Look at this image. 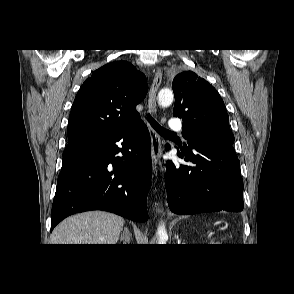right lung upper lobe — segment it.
<instances>
[{
    "instance_id": "1",
    "label": "right lung upper lobe",
    "mask_w": 294,
    "mask_h": 294,
    "mask_svg": "<svg viewBox=\"0 0 294 294\" xmlns=\"http://www.w3.org/2000/svg\"><path fill=\"white\" fill-rule=\"evenodd\" d=\"M147 91L145 75L126 61L97 69L75 97L68 123L69 143L127 126L139 117L135 107Z\"/></svg>"
}]
</instances>
